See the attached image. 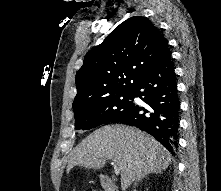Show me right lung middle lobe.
Returning <instances> with one entry per match:
<instances>
[{"mask_svg":"<svg viewBox=\"0 0 221 191\" xmlns=\"http://www.w3.org/2000/svg\"><path fill=\"white\" fill-rule=\"evenodd\" d=\"M133 91L104 99L75 114V129L89 130L101 124L119 122L132 106Z\"/></svg>","mask_w":221,"mask_h":191,"instance_id":"1","label":"right lung middle lobe"}]
</instances>
